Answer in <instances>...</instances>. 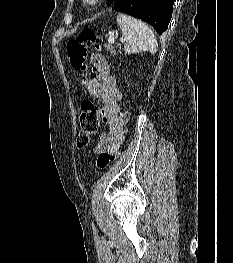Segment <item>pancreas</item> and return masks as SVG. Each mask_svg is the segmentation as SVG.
<instances>
[{
    "instance_id": "1",
    "label": "pancreas",
    "mask_w": 233,
    "mask_h": 263,
    "mask_svg": "<svg viewBox=\"0 0 233 263\" xmlns=\"http://www.w3.org/2000/svg\"><path fill=\"white\" fill-rule=\"evenodd\" d=\"M104 48L110 52L112 56L116 55V49L119 48V45H113V44H104Z\"/></svg>"
}]
</instances>
